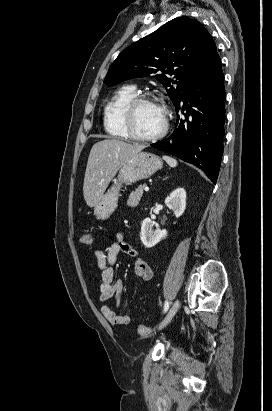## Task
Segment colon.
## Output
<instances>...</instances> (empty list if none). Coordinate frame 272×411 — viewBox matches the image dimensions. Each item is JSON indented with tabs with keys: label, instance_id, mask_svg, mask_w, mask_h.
I'll return each mask as SVG.
<instances>
[{
	"label": "colon",
	"instance_id": "obj_1",
	"mask_svg": "<svg viewBox=\"0 0 272 411\" xmlns=\"http://www.w3.org/2000/svg\"><path fill=\"white\" fill-rule=\"evenodd\" d=\"M81 244L85 245V246H89L92 244L93 242V238L90 234H84L81 239ZM154 331V328L140 324L138 326V333L139 335L146 337V336H150Z\"/></svg>",
	"mask_w": 272,
	"mask_h": 411
}]
</instances>
